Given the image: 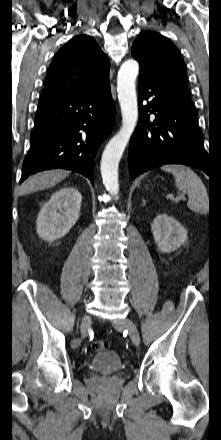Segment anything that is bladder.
<instances>
[{
  "label": "bladder",
  "mask_w": 221,
  "mask_h": 440,
  "mask_svg": "<svg viewBox=\"0 0 221 440\" xmlns=\"http://www.w3.org/2000/svg\"><path fill=\"white\" fill-rule=\"evenodd\" d=\"M122 367V360L114 351H101L89 363L90 370L98 374H112Z\"/></svg>",
  "instance_id": "31cf9c89"
}]
</instances>
